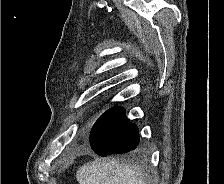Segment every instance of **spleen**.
Returning <instances> with one entry per match:
<instances>
[{
    "mask_svg": "<svg viewBox=\"0 0 224 184\" xmlns=\"http://www.w3.org/2000/svg\"><path fill=\"white\" fill-rule=\"evenodd\" d=\"M76 178L80 184H146L137 167L115 160L84 164L77 170Z\"/></svg>",
    "mask_w": 224,
    "mask_h": 184,
    "instance_id": "spleen-1",
    "label": "spleen"
}]
</instances>
